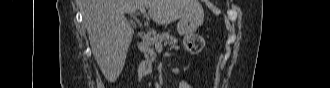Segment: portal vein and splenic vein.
<instances>
[{"label": "portal vein and splenic vein", "instance_id": "obj_1", "mask_svg": "<svg viewBox=\"0 0 330 88\" xmlns=\"http://www.w3.org/2000/svg\"><path fill=\"white\" fill-rule=\"evenodd\" d=\"M140 13L145 14L146 10L145 9H140ZM155 48L157 49V51H162V45L161 44H156Z\"/></svg>", "mask_w": 330, "mask_h": 88}]
</instances>
